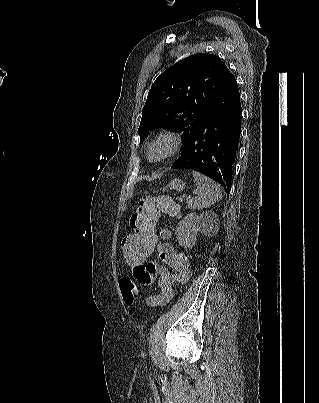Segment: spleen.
Returning a JSON list of instances; mask_svg holds the SVG:
<instances>
[{"instance_id": "spleen-1", "label": "spleen", "mask_w": 319, "mask_h": 403, "mask_svg": "<svg viewBox=\"0 0 319 403\" xmlns=\"http://www.w3.org/2000/svg\"><path fill=\"white\" fill-rule=\"evenodd\" d=\"M192 175L196 182L198 195L188 201V208L203 209L222 199L221 188L207 176L193 171Z\"/></svg>"}]
</instances>
